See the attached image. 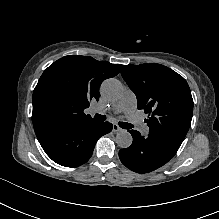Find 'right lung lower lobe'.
Listing matches in <instances>:
<instances>
[{
    "label": "right lung lower lobe",
    "instance_id": "obj_1",
    "mask_svg": "<svg viewBox=\"0 0 219 219\" xmlns=\"http://www.w3.org/2000/svg\"><path fill=\"white\" fill-rule=\"evenodd\" d=\"M36 136L45 153L59 165L77 167L86 163L97 140L111 132L109 122L65 121L33 124Z\"/></svg>",
    "mask_w": 219,
    "mask_h": 219
}]
</instances>
